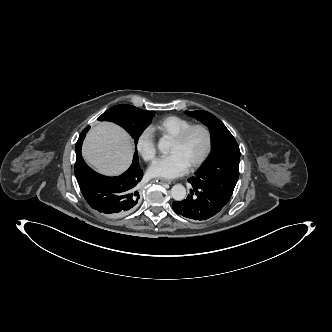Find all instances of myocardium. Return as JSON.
Wrapping results in <instances>:
<instances>
[{
    "label": "myocardium",
    "instance_id": "f54148a6",
    "mask_svg": "<svg viewBox=\"0 0 332 332\" xmlns=\"http://www.w3.org/2000/svg\"><path fill=\"white\" fill-rule=\"evenodd\" d=\"M196 129H200L204 132L206 136V145L202 154L189 165L191 169H195L200 165H202L211 153L213 145V136L210 128L203 123L191 124L173 138L174 142H176L177 144H182L186 141L190 133Z\"/></svg>",
    "mask_w": 332,
    "mask_h": 332
}]
</instances>
